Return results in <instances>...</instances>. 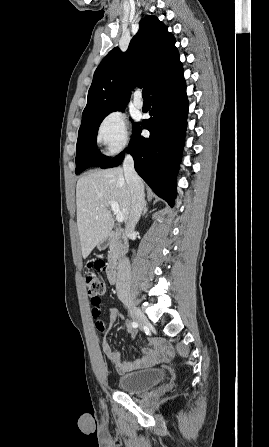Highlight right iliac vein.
<instances>
[{"label":"right iliac vein","mask_w":269,"mask_h":447,"mask_svg":"<svg viewBox=\"0 0 269 447\" xmlns=\"http://www.w3.org/2000/svg\"><path fill=\"white\" fill-rule=\"evenodd\" d=\"M126 307L129 309V313L130 316L132 317L133 320H135V322L140 326V328H143V326L145 324L148 323V319L146 318V316L140 311L139 308H137L134 304H133V298L130 301H127L125 303Z\"/></svg>","instance_id":"1"}]
</instances>
